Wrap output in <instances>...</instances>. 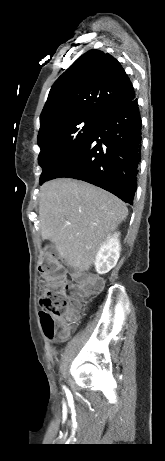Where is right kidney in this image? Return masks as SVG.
Instances as JSON below:
<instances>
[{"label":"right kidney","instance_id":"ca27d5eb","mask_svg":"<svg viewBox=\"0 0 165 461\" xmlns=\"http://www.w3.org/2000/svg\"><path fill=\"white\" fill-rule=\"evenodd\" d=\"M120 233L115 232L108 235L106 241L101 245L95 258L96 271L103 275L109 272L117 263L120 256Z\"/></svg>","mask_w":165,"mask_h":461}]
</instances>
